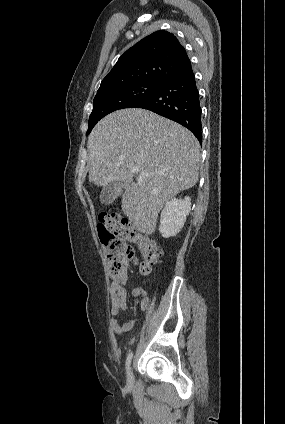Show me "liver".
<instances>
[{"mask_svg":"<svg viewBox=\"0 0 285 424\" xmlns=\"http://www.w3.org/2000/svg\"><path fill=\"white\" fill-rule=\"evenodd\" d=\"M89 182L122 181V211L134 227L154 233L164 204L198 181L200 144L180 124L145 109L115 111L88 137ZM140 169L137 181L132 167ZM142 173L148 174L143 176Z\"/></svg>","mask_w":285,"mask_h":424,"instance_id":"6515ba94","label":"liver"}]
</instances>
